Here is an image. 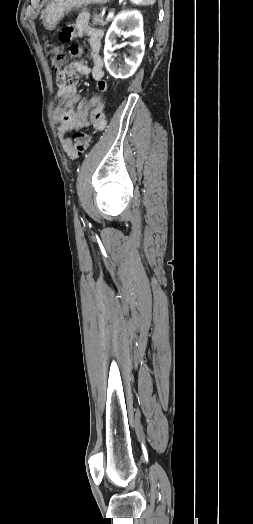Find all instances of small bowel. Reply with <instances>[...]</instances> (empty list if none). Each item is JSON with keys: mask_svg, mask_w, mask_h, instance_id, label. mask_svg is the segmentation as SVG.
<instances>
[{"mask_svg": "<svg viewBox=\"0 0 253 524\" xmlns=\"http://www.w3.org/2000/svg\"><path fill=\"white\" fill-rule=\"evenodd\" d=\"M60 42L68 44L65 54L68 57H80L84 51L78 47L77 37H87L91 57V65L83 61H75L63 66L57 74L59 92L58 105L54 112L57 122V131L62 148L71 156L72 144L68 134L73 130L85 129L91 126L100 131L105 127L103 102L97 95L81 97L77 92V83L80 77L93 79L100 89V96H109V81L104 78V64L101 56V41L103 32L92 27L86 14L80 15L73 24H63L58 33Z\"/></svg>", "mask_w": 253, "mask_h": 524, "instance_id": "c3829d8e", "label": "small bowel"}]
</instances>
